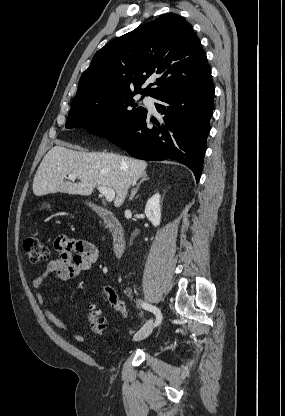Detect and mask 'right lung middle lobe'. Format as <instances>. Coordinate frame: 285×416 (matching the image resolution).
I'll list each match as a JSON object with an SVG mask.
<instances>
[{"mask_svg":"<svg viewBox=\"0 0 285 416\" xmlns=\"http://www.w3.org/2000/svg\"><path fill=\"white\" fill-rule=\"evenodd\" d=\"M146 115L147 110L135 103L133 96H125L72 110L65 126L69 129L84 127L90 133L109 138L127 130Z\"/></svg>","mask_w":285,"mask_h":416,"instance_id":"dd1d6c3e","label":"right lung middle lobe"}]
</instances>
